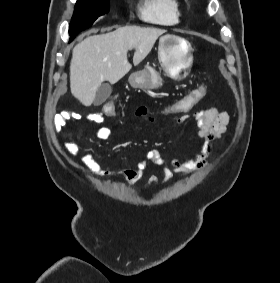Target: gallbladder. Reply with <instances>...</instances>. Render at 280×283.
<instances>
[{
  "label": "gallbladder",
  "mask_w": 280,
  "mask_h": 283,
  "mask_svg": "<svg viewBox=\"0 0 280 283\" xmlns=\"http://www.w3.org/2000/svg\"><path fill=\"white\" fill-rule=\"evenodd\" d=\"M111 92H112V88L110 84L102 83L95 94L93 101L94 105L99 106L103 104L109 98Z\"/></svg>",
  "instance_id": "obj_1"
}]
</instances>
